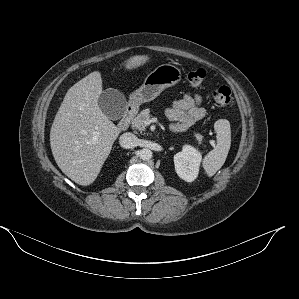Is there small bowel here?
<instances>
[{
  "instance_id": "1",
  "label": "small bowel",
  "mask_w": 299,
  "mask_h": 299,
  "mask_svg": "<svg viewBox=\"0 0 299 299\" xmlns=\"http://www.w3.org/2000/svg\"><path fill=\"white\" fill-rule=\"evenodd\" d=\"M166 115L173 121L171 130L181 132L202 120L206 115V109L202 106L200 94L187 93L166 110Z\"/></svg>"
}]
</instances>
